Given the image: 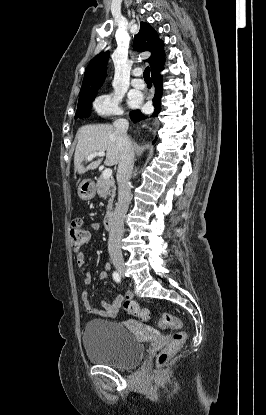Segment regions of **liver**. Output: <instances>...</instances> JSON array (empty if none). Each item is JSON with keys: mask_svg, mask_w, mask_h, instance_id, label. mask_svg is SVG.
I'll use <instances>...</instances> for the list:
<instances>
[{"mask_svg": "<svg viewBox=\"0 0 266 415\" xmlns=\"http://www.w3.org/2000/svg\"><path fill=\"white\" fill-rule=\"evenodd\" d=\"M78 143L74 154V167L78 174L96 169L101 159L90 163L86 168L83 161L92 153L106 151L105 165L113 166L119 163L120 151L117 145L115 128L110 124L84 125L77 132Z\"/></svg>", "mask_w": 266, "mask_h": 415, "instance_id": "6515ba94", "label": "liver"}]
</instances>
